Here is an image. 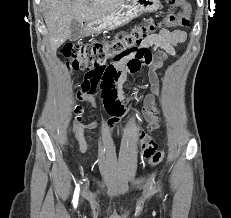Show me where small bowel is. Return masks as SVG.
I'll list each match as a JSON object with an SVG mask.
<instances>
[{
  "mask_svg": "<svg viewBox=\"0 0 231 218\" xmlns=\"http://www.w3.org/2000/svg\"><path fill=\"white\" fill-rule=\"evenodd\" d=\"M152 24V22H150ZM187 34L182 30L170 31L165 28L160 29L157 33L150 35L142 44L144 48H155L159 52L152 58L147 56H119L112 63H105L104 66H98L97 69H86L85 78L83 79L78 91L79 97L100 90L101 98L107 112L113 117H120L123 112V102L125 96L122 86L126 81L127 72L136 73L142 66L150 65L151 92L144 99V114L150 129L159 128L158 109L155 107V98L160 93L159 81L156 77V71L163 66L166 55L175 56V48L186 40ZM153 59V61H152ZM117 84V88H116ZM116 119V118H115ZM115 120L110 122L113 125ZM95 123L78 124L74 127V139L78 145L79 152L84 154L88 148L84 136L85 129H92ZM128 136H136L135 131H127ZM139 140L140 155L148 157L155 149V142L148 136L137 133Z\"/></svg>",
  "mask_w": 231,
  "mask_h": 218,
  "instance_id": "c3829d8e",
  "label": "small bowel"
}]
</instances>
